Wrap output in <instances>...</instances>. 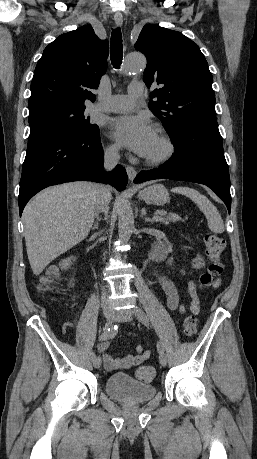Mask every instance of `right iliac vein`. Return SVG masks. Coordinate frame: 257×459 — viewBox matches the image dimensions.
Masks as SVG:
<instances>
[{
	"label": "right iliac vein",
	"instance_id": "obj_1",
	"mask_svg": "<svg viewBox=\"0 0 257 459\" xmlns=\"http://www.w3.org/2000/svg\"><path fill=\"white\" fill-rule=\"evenodd\" d=\"M103 315L106 319V327H109L110 325H112V323L115 321V313L109 307H105L103 309ZM93 366L97 369L100 368L101 366L100 357H96L93 359Z\"/></svg>",
	"mask_w": 257,
	"mask_h": 459
}]
</instances>
